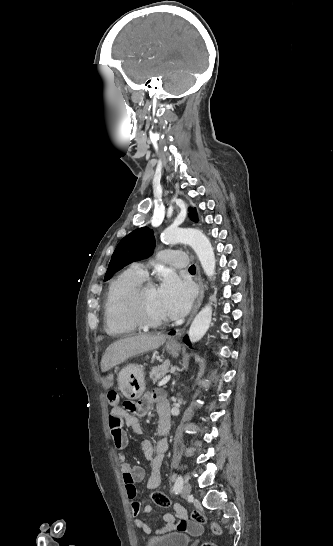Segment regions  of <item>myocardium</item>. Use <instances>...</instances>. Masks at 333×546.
Returning <instances> with one entry per match:
<instances>
[{"label":"myocardium","instance_id":"myocardium-1","mask_svg":"<svg viewBox=\"0 0 333 546\" xmlns=\"http://www.w3.org/2000/svg\"><path fill=\"white\" fill-rule=\"evenodd\" d=\"M155 287L153 282L143 280L142 282L133 286L125 297V306L130 317L142 327L147 328H160L165 326L168 321L152 319L146 315L142 306V297L144 292L150 288Z\"/></svg>","mask_w":333,"mask_h":546}]
</instances>
